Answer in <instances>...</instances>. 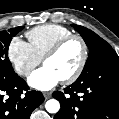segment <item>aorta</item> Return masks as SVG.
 <instances>
[{
    "label": "aorta",
    "instance_id": "1",
    "mask_svg": "<svg viewBox=\"0 0 119 119\" xmlns=\"http://www.w3.org/2000/svg\"><path fill=\"white\" fill-rule=\"evenodd\" d=\"M45 108L49 113H57L60 109V103L56 99H50L46 102Z\"/></svg>",
    "mask_w": 119,
    "mask_h": 119
}]
</instances>
